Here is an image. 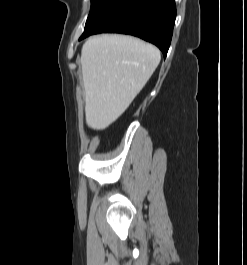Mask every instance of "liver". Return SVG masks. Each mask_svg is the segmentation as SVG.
Returning a JSON list of instances; mask_svg holds the SVG:
<instances>
[{
	"mask_svg": "<svg viewBox=\"0 0 247 265\" xmlns=\"http://www.w3.org/2000/svg\"><path fill=\"white\" fill-rule=\"evenodd\" d=\"M152 44L126 35L89 38L81 51L86 124L107 128L129 107L160 63Z\"/></svg>",
	"mask_w": 247,
	"mask_h": 265,
	"instance_id": "liver-1",
	"label": "liver"
}]
</instances>
